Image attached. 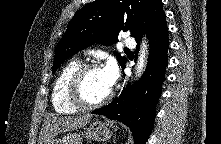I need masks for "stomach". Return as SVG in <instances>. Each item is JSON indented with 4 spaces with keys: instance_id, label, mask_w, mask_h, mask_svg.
<instances>
[{
    "instance_id": "1",
    "label": "stomach",
    "mask_w": 221,
    "mask_h": 144,
    "mask_svg": "<svg viewBox=\"0 0 221 144\" xmlns=\"http://www.w3.org/2000/svg\"><path fill=\"white\" fill-rule=\"evenodd\" d=\"M113 130H117L109 121H94L80 132H69L63 137L52 139L48 144H80L83 138L95 141H107L113 135Z\"/></svg>"
}]
</instances>
